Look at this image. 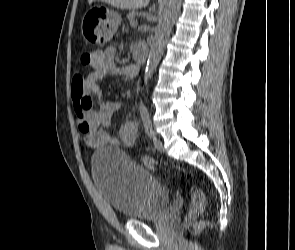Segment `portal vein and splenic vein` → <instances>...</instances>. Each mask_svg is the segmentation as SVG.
Wrapping results in <instances>:
<instances>
[{"mask_svg": "<svg viewBox=\"0 0 295 250\" xmlns=\"http://www.w3.org/2000/svg\"><path fill=\"white\" fill-rule=\"evenodd\" d=\"M131 25H132V27H136L138 25V22L137 21H133Z\"/></svg>", "mask_w": 295, "mask_h": 250, "instance_id": "portal-vein-and-splenic-vein-1", "label": "portal vein and splenic vein"}]
</instances>
